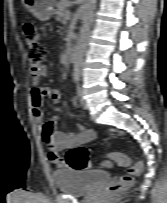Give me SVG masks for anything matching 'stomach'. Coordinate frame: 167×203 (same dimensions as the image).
Returning <instances> with one entry per match:
<instances>
[{"label":"stomach","instance_id":"1","mask_svg":"<svg viewBox=\"0 0 167 203\" xmlns=\"http://www.w3.org/2000/svg\"><path fill=\"white\" fill-rule=\"evenodd\" d=\"M56 0H22L24 7L37 19L47 21L53 15Z\"/></svg>","mask_w":167,"mask_h":203}]
</instances>
